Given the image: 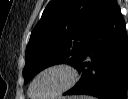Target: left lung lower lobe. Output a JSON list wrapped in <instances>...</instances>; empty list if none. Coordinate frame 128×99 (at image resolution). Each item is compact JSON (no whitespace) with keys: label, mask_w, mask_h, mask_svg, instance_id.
I'll use <instances>...</instances> for the list:
<instances>
[{"label":"left lung lower lobe","mask_w":128,"mask_h":99,"mask_svg":"<svg viewBox=\"0 0 128 99\" xmlns=\"http://www.w3.org/2000/svg\"><path fill=\"white\" fill-rule=\"evenodd\" d=\"M90 58L89 61H86ZM80 81L64 95L127 99L128 37L116 0H108L87 48L74 66Z\"/></svg>","instance_id":"1"}]
</instances>
